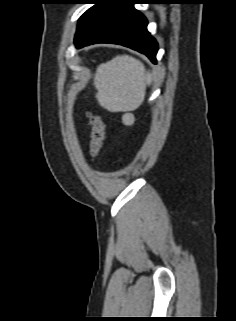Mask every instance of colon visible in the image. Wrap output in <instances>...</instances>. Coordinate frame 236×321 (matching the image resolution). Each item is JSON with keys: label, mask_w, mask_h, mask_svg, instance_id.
I'll list each match as a JSON object with an SVG mask.
<instances>
[{"label": "colon", "mask_w": 236, "mask_h": 321, "mask_svg": "<svg viewBox=\"0 0 236 321\" xmlns=\"http://www.w3.org/2000/svg\"><path fill=\"white\" fill-rule=\"evenodd\" d=\"M88 122L91 127L90 156L95 161L103 146L105 126L101 116L96 114H88Z\"/></svg>", "instance_id": "obj_1"}]
</instances>
